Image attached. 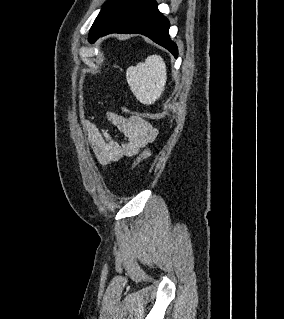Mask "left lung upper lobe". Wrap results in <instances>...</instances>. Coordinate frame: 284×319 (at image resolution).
Wrapping results in <instances>:
<instances>
[{"mask_svg": "<svg viewBox=\"0 0 284 319\" xmlns=\"http://www.w3.org/2000/svg\"><path fill=\"white\" fill-rule=\"evenodd\" d=\"M123 2L124 0H109L105 3L91 27L88 37L89 42H93L95 37L112 19Z\"/></svg>", "mask_w": 284, "mask_h": 319, "instance_id": "left-lung-upper-lobe-1", "label": "left lung upper lobe"}]
</instances>
